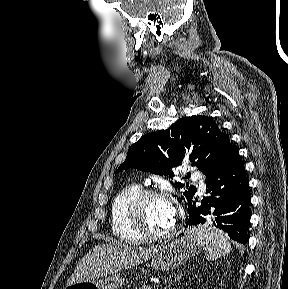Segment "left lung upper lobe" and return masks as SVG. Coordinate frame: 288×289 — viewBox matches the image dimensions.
Instances as JSON below:
<instances>
[{"label": "left lung upper lobe", "mask_w": 288, "mask_h": 289, "mask_svg": "<svg viewBox=\"0 0 288 289\" xmlns=\"http://www.w3.org/2000/svg\"><path fill=\"white\" fill-rule=\"evenodd\" d=\"M229 138L219 126L207 116L184 117L166 130L144 135L133 144L126 160L116 173L130 168H138L157 175L174 176L172 167L182 163L187 153L192 166L205 175L221 158ZM177 188L184 185L176 183ZM183 193L190 202L196 193L194 186L186 185Z\"/></svg>", "instance_id": "obj_1"}]
</instances>
